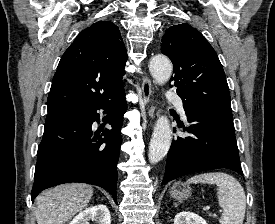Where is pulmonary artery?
<instances>
[{
  "label": "pulmonary artery",
  "instance_id": "e3ab8cb5",
  "mask_svg": "<svg viewBox=\"0 0 275 224\" xmlns=\"http://www.w3.org/2000/svg\"><path fill=\"white\" fill-rule=\"evenodd\" d=\"M166 99L175 103V105L178 108V110L180 111V113L183 116L185 115L183 101L178 94H176L175 92L168 91L166 93Z\"/></svg>",
  "mask_w": 275,
  "mask_h": 224
}]
</instances>
